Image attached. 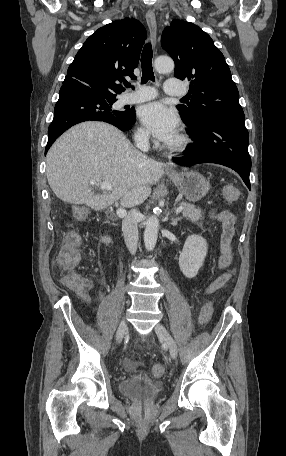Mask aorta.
<instances>
[{
    "mask_svg": "<svg viewBox=\"0 0 286 456\" xmlns=\"http://www.w3.org/2000/svg\"><path fill=\"white\" fill-rule=\"evenodd\" d=\"M154 67L158 73H168L174 70V62L168 57H158L155 59ZM159 220L156 215H152L146 222L144 231V244L148 251L155 248L158 237Z\"/></svg>",
    "mask_w": 286,
    "mask_h": 456,
    "instance_id": "1",
    "label": "aorta"
}]
</instances>
